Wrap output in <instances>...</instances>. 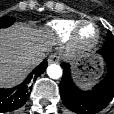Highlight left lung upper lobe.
Instances as JSON below:
<instances>
[{
	"mask_svg": "<svg viewBox=\"0 0 114 114\" xmlns=\"http://www.w3.org/2000/svg\"><path fill=\"white\" fill-rule=\"evenodd\" d=\"M102 48L114 49V36L110 31L107 33V40L104 43Z\"/></svg>",
	"mask_w": 114,
	"mask_h": 114,
	"instance_id": "left-lung-upper-lobe-1",
	"label": "left lung upper lobe"
}]
</instances>
